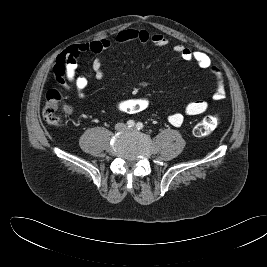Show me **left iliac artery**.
<instances>
[{"mask_svg": "<svg viewBox=\"0 0 267 267\" xmlns=\"http://www.w3.org/2000/svg\"><path fill=\"white\" fill-rule=\"evenodd\" d=\"M143 124L141 123V122H138L137 124H136V128L138 129V130H141V129H143Z\"/></svg>", "mask_w": 267, "mask_h": 267, "instance_id": "left-iliac-artery-1", "label": "left iliac artery"}]
</instances>
